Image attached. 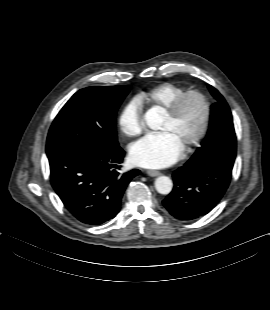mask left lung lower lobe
<instances>
[{"label":"left lung lower lobe","mask_w":270,"mask_h":310,"mask_svg":"<svg viewBox=\"0 0 270 310\" xmlns=\"http://www.w3.org/2000/svg\"><path fill=\"white\" fill-rule=\"evenodd\" d=\"M231 176L230 168L188 161L173 173L174 187L163 205L177 219L200 218L220 202Z\"/></svg>","instance_id":"0a47b994"}]
</instances>
